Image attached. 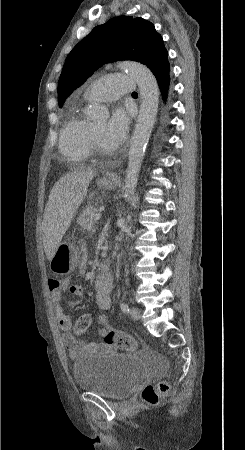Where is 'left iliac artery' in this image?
Segmentation results:
<instances>
[{
    "label": "left iliac artery",
    "mask_w": 245,
    "mask_h": 450,
    "mask_svg": "<svg viewBox=\"0 0 245 450\" xmlns=\"http://www.w3.org/2000/svg\"><path fill=\"white\" fill-rule=\"evenodd\" d=\"M120 308L124 313H129V307L126 303H121Z\"/></svg>",
    "instance_id": "left-iliac-artery-1"
}]
</instances>
